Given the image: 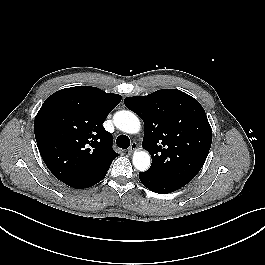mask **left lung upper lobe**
Returning a JSON list of instances; mask_svg holds the SVG:
<instances>
[{
    "instance_id": "1",
    "label": "left lung upper lobe",
    "mask_w": 265,
    "mask_h": 265,
    "mask_svg": "<svg viewBox=\"0 0 265 265\" xmlns=\"http://www.w3.org/2000/svg\"><path fill=\"white\" fill-rule=\"evenodd\" d=\"M124 104L144 122L142 146L152 156L145 172L185 186L203 167L212 143V129L201 104L177 89L127 97Z\"/></svg>"
}]
</instances>
